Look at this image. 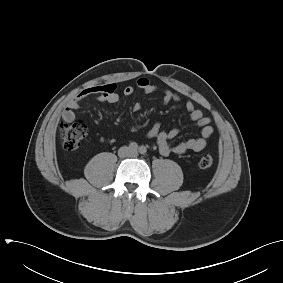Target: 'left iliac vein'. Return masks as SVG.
I'll return each mask as SVG.
<instances>
[{
    "mask_svg": "<svg viewBox=\"0 0 283 283\" xmlns=\"http://www.w3.org/2000/svg\"><path fill=\"white\" fill-rule=\"evenodd\" d=\"M132 155H137V151H132Z\"/></svg>",
    "mask_w": 283,
    "mask_h": 283,
    "instance_id": "obj_1",
    "label": "left iliac vein"
}]
</instances>
